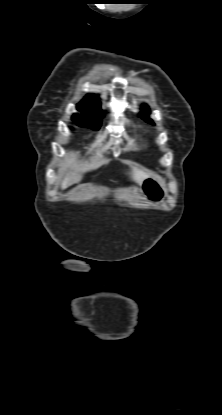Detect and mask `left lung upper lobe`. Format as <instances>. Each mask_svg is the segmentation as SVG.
Instances as JSON below:
<instances>
[{
	"label": "left lung upper lobe",
	"instance_id": "left-lung-upper-lobe-1",
	"mask_svg": "<svg viewBox=\"0 0 222 415\" xmlns=\"http://www.w3.org/2000/svg\"><path fill=\"white\" fill-rule=\"evenodd\" d=\"M141 114L143 115V119H145V121H147L148 123L154 124L153 121L148 117V115L150 114V109L146 104H143L141 107Z\"/></svg>",
	"mask_w": 222,
	"mask_h": 415
}]
</instances>
